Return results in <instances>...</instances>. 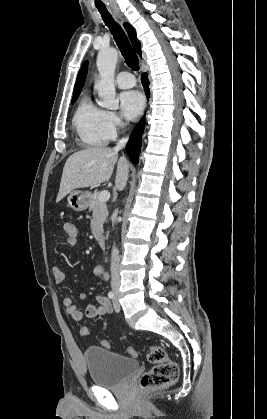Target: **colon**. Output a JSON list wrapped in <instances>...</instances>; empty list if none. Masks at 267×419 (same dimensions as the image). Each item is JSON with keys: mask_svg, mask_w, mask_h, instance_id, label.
I'll list each match as a JSON object with an SVG mask.
<instances>
[{"mask_svg": "<svg viewBox=\"0 0 267 419\" xmlns=\"http://www.w3.org/2000/svg\"><path fill=\"white\" fill-rule=\"evenodd\" d=\"M66 243L70 247H75L78 244V228L72 222H66L63 226ZM80 334L87 336L89 329L87 326L80 328ZM101 345L104 348H110V342L108 340H102ZM128 353L136 357L137 352L134 348H128ZM148 361L154 366L145 372L140 379V387L142 390H153L164 388L174 384L179 375V368L175 361L169 358L166 351L157 345H150L147 354Z\"/></svg>", "mask_w": 267, "mask_h": 419, "instance_id": "1", "label": "colon"}]
</instances>
